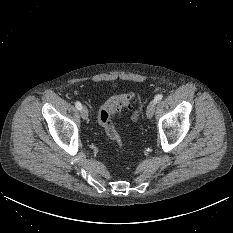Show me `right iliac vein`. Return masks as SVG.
<instances>
[{
    "instance_id": "obj_1",
    "label": "right iliac vein",
    "mask_w": 233,
    "mask_h": 233,
    "mask_svg": "<svg viewBox=\"0 0 233 233\" xmlns=\"http://www.w3.org/2000/svg\"><path fill=\"white\" fill-rule=\"evenodd\" d=\"M80 113H81V117H82L84 120H87V119H88V109H87L86 106H83V107L81 108Z\"/></svg>"
}]
</instances>
